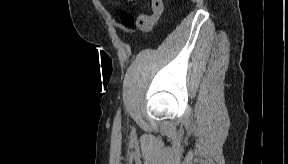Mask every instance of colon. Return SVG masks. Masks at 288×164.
<instances>
[{
    "mask_svg": "<svg viewBox=\"0 0 288 164\" xmlns=\"http://www.w3.org/2000/svg\"><path fill=\"white\" fill-rule=\"evenodd\" d=\"M151 14H152V16L154 18H159V16H160V8L156 7V6H153ZM121 22H122V25L125 28H128V29L134 27V25H135V19L129 14L122 15Z\"/></svg>",
    "mask_w": 288,
    "mask_h": 164,
    "instance_id": "colon-1",
    "label": "colon"
}]
</instances>
